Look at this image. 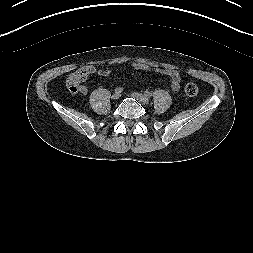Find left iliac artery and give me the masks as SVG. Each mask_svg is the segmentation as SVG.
Wrapping results in <instances>:
<instances>
[{"instance_id": "left-iliac-artery-1", "label": "left iliac artery", "mask_w": 253, "mask_h": 253, "mask_svg": "<svg viewBox=\"0 0 253 253\" xmlns=\"http://www.w3.org/2000/svg\"><path fill=\"white\" fill-rule=\"evenodd\" d=\"M147 97H151L152 96V94L149 92V91H145V93H144Z\"/></svg>"}]
</instances>
